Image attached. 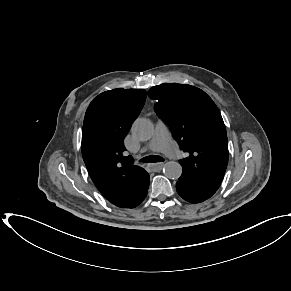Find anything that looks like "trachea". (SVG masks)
Returning <instances> with one entry per match:
<instances>
[{
  "label": "trachea",
  "mask_w": 291,
  "mask_h": 291,
  "mask_svg": "<svg viewBox=\"0 0 291 291\" xmlns=\"http://www.w3.org/2000/svg\"><path fill=\"white\" fill-rule=\"evenodd\" d=\"M144 163H155V162H163L164 159L157 155L146 156L140 160Z\"/></svg>",
  "instance_id": "obj_1"
}]
</instances>
